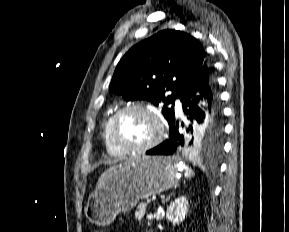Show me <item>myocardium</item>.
I'll return each mask as SVG.
<instances>
[{
    "instance_id": "myocardium-1",
    "label": "myocardium",
    "mask_w": 289,
    "mask_h": 232,
    "mask_svg": "<svg viewBox=\"0 0 289 232\" xmlns=\"http://www.w3.org/2000/svg\"><path fill=\"white\" fill-rule=\"evenodd\" d=\"M142 111L146 114H148L154 121L156 125V134L153 137L151 141H149L147 144L142 146H129L126 144H123L117 136V124L119 121V118L128 111ZM110 137L114 143V145L119 148L121 151H123L126 154H140V153H146L153 148L157 147L163 140L164 137V124L162 122V119L160 115L157 113V111L145 104L135 103V104H129L125 105L121 108H119L113 115L111 124H110Z\"/></svg>"
}]
</instances>
